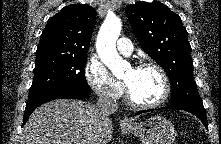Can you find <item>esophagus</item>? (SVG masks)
Returning a JSON list of instances; mask_svg holds the SVG:
<instances>
[{
	"mask_svg": "<svg viewBox=\"0 0 221 144\" xmlns=\"http://www.w3.org/2000/svg\"><path fill=\"white\" fill-rule=\"evenodd\" d=\"M122 123L129 124V123H131V120L129 118L125 117V118L122 119Z\"/></svg>",
	"mask_w": 221,
	"mask_h": 144,
	"instance_id": "obj_1",
	"label": "esophagus"
}]
</instances>
